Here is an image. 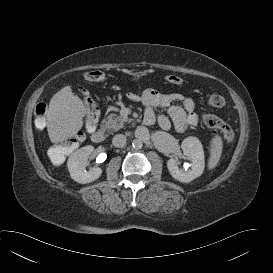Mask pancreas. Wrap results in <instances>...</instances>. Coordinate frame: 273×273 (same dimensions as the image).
Returning a JSON list of instances; mask_svg holds the SVG:
<instances>
[{
    "instance_id": "obj_1",
    "label": "pancreas",
    "mask_w": 273,
    "mask_h": 273,
    "mask_svg": "<svg viewBox=\"0 0 273 273\" xmlns=\"http://www.w3.org/2000/svg\"><path fill=\"white\" fill-rule=\"evenodd\" d=\"M127 122H131V119L122 118L116 114H110L105 119H103L102 123L104 128L109 132H117L121 128L124 127V124Z\"/></svg>"
}]
</instances>
